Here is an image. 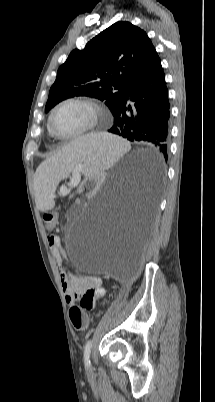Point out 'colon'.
Here are the masks:
<instances>
[{"label": "colon", "mask_w": 215, "mask_h": 402, "mask_svg": "<svg viewBox=\"0 0 215 402\" xmlns=\"http://www.w3.org/2000/svg\"><path fill=\"white\" fill-rule=\"evenodd\" d=\"M46 226L49 230H52L57 221V215L55 213H47L44 215ZM93 305L92 292H87L81 298V307L73 306L69 311V316L73 327L77 330H84L88 325V318L83 312L82 308L90 309Z\"/></svg>", "instance_id": "1"}]
</instances>
